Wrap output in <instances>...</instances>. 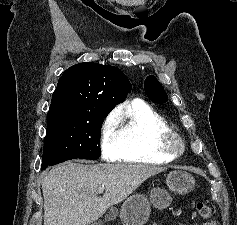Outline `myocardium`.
I'll return each mask as SVG.
<instances>
[{
    "mask_svg": "<svg viewBox=\"0 0 237 225\" xmlns=\"http://www.w3.org/2000/svg\"><path fill=\"white\" fill-rule=\"evenodd\" d=\"M158 147L163 154L177 157L184 152L185 143L178 133L170 131L159 136Z\"/></svg>",
    "mask_w": 237,
    "mask_h": 225,
    "instance_id": "myocardium-1",
    "label": "myocardium"
}]
</instances>
